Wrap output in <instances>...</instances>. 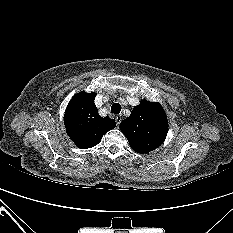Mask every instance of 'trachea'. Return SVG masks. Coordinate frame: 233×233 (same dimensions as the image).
Masks as SVG:
<instances>
[{
    "instance_id": "trachea-1",
    "label": "trachea",
    "mask_w": 233,
    "mask_h": 233,
    "mask_svg": "<svg viewBox=\"0 0 233 233\" xmlns=\"http://www.w3.org/2000/svg\"><path fill=\"white\" fill-rule=\"evenodd\" d=\"M121 111V105L119 103H114L112 106H111V112L113 114H119Z\"/></svg>"
}]
</instances>
